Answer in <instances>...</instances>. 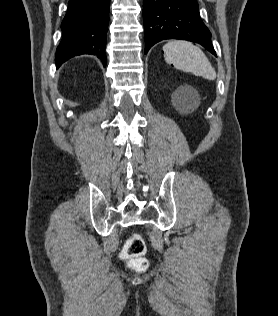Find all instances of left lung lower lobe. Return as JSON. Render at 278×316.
I'll return each instance as SVG.
<instances>
[{
  "label": "left lung lower lobe",
  "mask_w": 278,
  "mask_h": 316,
  "mask_svg": "<svg viewBox=\"0 0 278 316\" xmlns=\"http://www.w3.org/2000/svg\"><path fill=\"white\" fill-rule=\"evenodd\" d=\"M143 22L145 54L159 41L181 39L198 43L216 56L196 0H144Z\"/></svg>",
  "instance_id": "0a47b994"
}]
</instances>
